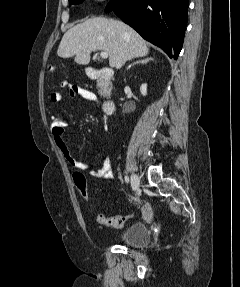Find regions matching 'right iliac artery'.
Segmentation results:
<instances>
[{"instance_id":"right-iliac-artery-1","label":"right iliac artery","mask_w":240,"mask_h":287,"mask_svg":"<svg viewBox=\"0 0 240 287\" xmlns=\"http://www.w3.org/2000/svg\"><path fill=\"white\" fill-rule=\"evenodd\" d=\"M125 182L128 184L129 183V177L125 176Z\"/></svg>"}]
</instances>
